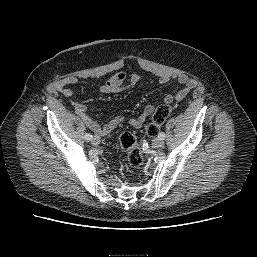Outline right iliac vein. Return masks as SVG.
<instances>
[{
    "mask_svg": "<svg viewBox=\"0 0 257 257\" xmlns=\"http://www.w3.org/2000/svg\"><path fill=\"white\" fill-rule=\"evenodd\" d=\"M91 143L95 146L99 145L100 144V138L97 137V136H94L91 140Z\"/></svg>",
    "mask_w": 257,
    "mask_h": 257,
    "instance_id": "63e3f726",
    "label": "right iliac vein"
}]
</instances>
